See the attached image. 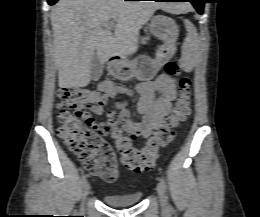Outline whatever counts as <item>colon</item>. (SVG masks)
<instances>
[{
  "label": "colon",
  "instance_id": "colon-1",
  "mask_svg": "<svg viewBox=\"0 0 260 217\" xmlns=\"http://www.w3.org/2000/svg\"><path fill=\"white\" fill-rule=\"evenodd\" d=\"M167 75L180 74L174 61L165 66ZM191 80H180V92L173 108L166 116L163 129L152 136L142 148L132 146L124 133H118L115 145L107 138L109 125L96 123L88 110L102 108L107 96L92 89L73 88L59 92L57 118L58 136L79 159L83 167L104 181H114L120 165L133 171H149L154 167L162 147L176 136L175 129L191 112Z\"/></svg>",
  "mask_w": 260,
  "mask_h": 217
}]
</instances>
